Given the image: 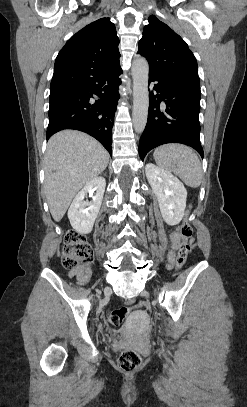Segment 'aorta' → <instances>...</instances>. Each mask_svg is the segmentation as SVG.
Wrapping results in <instances>:
<instances>
[{
    "instance_id": "aorta-1",
    "label": "aorta",
    "mask_w": 247,
    "mask_h": 407,
    "mask_svg": "<svg viewBox=\"0 0 247 407\" xmlns=\"http://www.w3.org/2000/svg\"><path fill=\"white\" fill-rule=\"evenodd\" d=\"M131 71L133 79V125L136 132L142 133L147 123L149 108V66L147 60L143 57L136 58L132 63Z\"/></svg>"
}]
</instances>
